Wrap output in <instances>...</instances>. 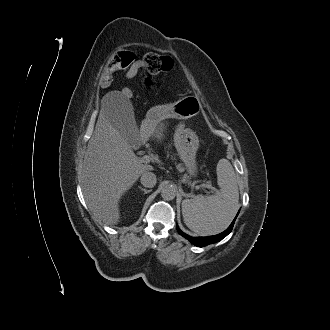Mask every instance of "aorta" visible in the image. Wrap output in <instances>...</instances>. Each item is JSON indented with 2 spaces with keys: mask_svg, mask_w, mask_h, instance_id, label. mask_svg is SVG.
<instances>
[{
  "mask_svg": "<svg viewBox=\"0 0 330 330\" xmlns=\"http://www.w3.org/2000/svg\"><path fill=\"white\" fill-rule=\"evenodd\" d=\"M176 188L173 185H165L161 190V196L164 200H173L176 196Z\"/></svg>",
  "mask_w": 330,
  "mask_h": 330,
  "instance_id": "762f6f07",
  "label": "aorta"
}]
</instances>
